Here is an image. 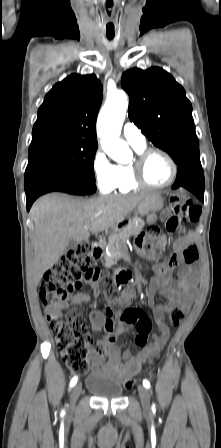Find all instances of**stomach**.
<instances>
[{
	"instance_id": "1",
	"label": "stomach",
	"mask_w": 221,
	"mask_h": 448,
	"mask_svg": "<svg viewBox=\"0 0 221 448\" xmlns=\"http://www.w3.org/2000/svg\"><path fill=\"white\" fill-rule=\"evenodd\" d=\"M163 205L164 198L158 193H153L139 204V206L137 207V212L140 215H148L159 211L160 209H162ZM130 221V219H124L115 226V231L120 232L128 226V222Z\"/></svg>"
}]
</instances>
